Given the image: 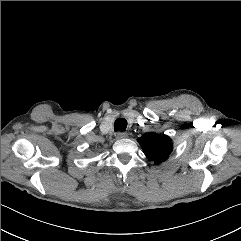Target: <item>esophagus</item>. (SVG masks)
I'll list each match as a JSON object with an SVG mask.
<instances>
[{"label": "esophagus", "instance_id": "esophagus-1", "mask_svg": "<svg viewBox=\"0 0 241 241\" xmlns=\"http://www.w3.org/2000/svg\"><path fill=\"white\" fill-rule=\"evenodd\" d=\"M127 137V132H118L117 133V138H126Z\"/></svg>", "mask_w": 241, "mask_h": 241}]
</instances>
